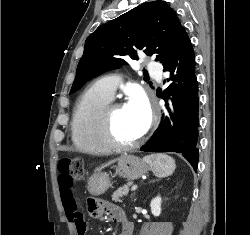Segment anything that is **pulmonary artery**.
I'll return each mask as SVG.
<instances>
[{
    "instance_id": "1",
    "label": "pulmonary artery",
    "mask_w": 250,
    "mask_h": 235,
    "mask_svg": "<svg viewBox=\"0 0 250 235\" xmlns=\"http://www.w3.org/2000/svg\"><path fill=\"white\" fill-rule=\"evenodd\" d=\"M149 72L158 80L161 79V69L154 63H149ZM119 78L117 76H107L98 79L94 86L97 90L104 93L105 95L113 98L116 89L118 88Z\"/></svg>"
}]
</instances>
